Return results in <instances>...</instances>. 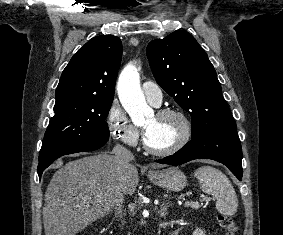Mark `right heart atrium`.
<instances>
[{
	"label": "right heart atrium",
	"mask_w": 283,
	"mask_h": 235,
	"mask_svg": "<svg viewBox=\"0 0 283 235\" xmlns=\"http://www.w3.org/2000/svg\"><path fill=\"white\" fill-rule=\"evenodd\" d=\"M107 124L112 137L128 146H134L139 140V130L131 122L124 109L113 101L107 113Z\"/></svg>",
	"instance_id": "d8ad5b80"
}]
</instances>
